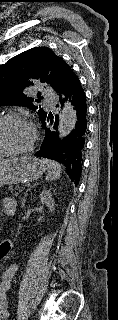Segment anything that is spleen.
Segmentation results:
<instances>
[{"label":"spleen","mask_w":118,"mask_h":320,"mask_svg":"<svg viewBox=\"0 0 118 320\" xmlns=\"http://www.w3.org/2000/svg\"><path fill=\"white\" fill-rule=\"evenodd\" d=\"M43 163L46 165L47 173L46 180L54 181L61 177L62 166L56 161H52L49 159H42Z\"/></svg>","instance_id":"spleen-1"}]
</instances>
